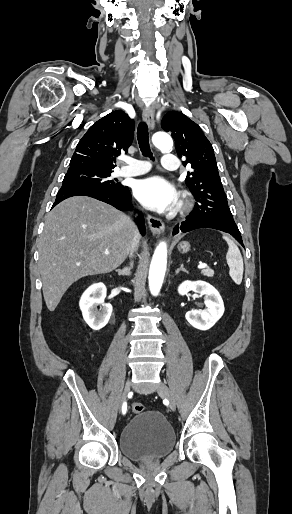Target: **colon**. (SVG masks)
Instances as JSON below:
<instances>
[{
    "mask_svg": "<svg viewBox=\"0 0 292 514\" xmlns=\"http://www.w3.org/2000/svg\"><path fill=\"white\" fill-rule=\"evenodd\" d=\"M131 411L135 414H143L146 410L145 406L138 402H133L130 405Z\"/></svg>",
    "mask_w": 292,
    "mask_h": 514,
    "instance_id": "5ec220e1",
    "label": "colon"
}]
</instances>
